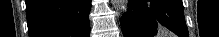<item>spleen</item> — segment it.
<instances>
[{"mask_svg": "<svg viewBox=\"0 0 219 37\" xmlns=\"http://www.w3.org/2000/svg\"><path fill=\"white\" fill-rule=\"evenodd\" d=\"M167 33V31L165 29H159V32H158V37H161L160 35H163ZM172 35V34H170ZM165 37H174V36H165Z\"/></svg>", "mask_w": 219, "mask_h": 37, "instance_id": "obj_1", "label": "spleen"}]
</instances>
